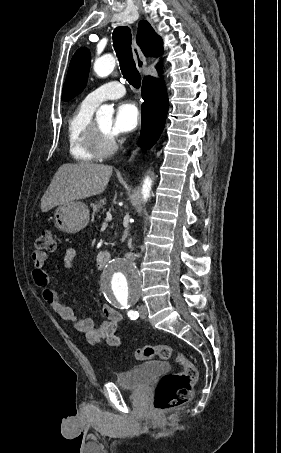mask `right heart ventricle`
<instances>
[{"mask_svg":"<svg viewBox=\"0 0 281 453\" xmlns=\"http://www.w3.org/2000/svg\"><path fill=\"white\" fill-rule=\"evenodd\" d=\"M98 105L85 99L67 119L69 150L77 161H91L95 158L90 147L89 134Z\"/></svg>","mask_w":281,"mask_h":453,"instance_id":"right-heart-ventricle-1","label":"right heart ventricle"}]
</instances>
